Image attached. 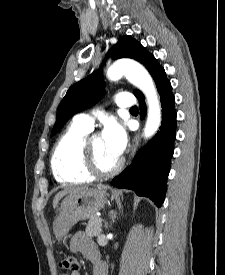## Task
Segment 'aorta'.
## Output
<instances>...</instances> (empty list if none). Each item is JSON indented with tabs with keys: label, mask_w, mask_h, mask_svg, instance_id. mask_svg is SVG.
Masks as SVG:
<instances>
[{
	"label": "aorta",
	"mask_w": 225,
	"mask_h": 275,
	"mask_svg": "<svg viewBox=\"0 0 225 275\" xmlns=\"http://www.w3.org/2000/svg\"><path fill=\"white\" fill-rule=\"evenodd\" d=\"M122 76L140 89L146 97L148 115L143 136L150 138L157 132L162 121L161 105L153 79L142 65L134 61H117L107 70L109 80L116 81Z\"/></svg>",
	"instance_id": "762f6f07"
}]
</instances>
